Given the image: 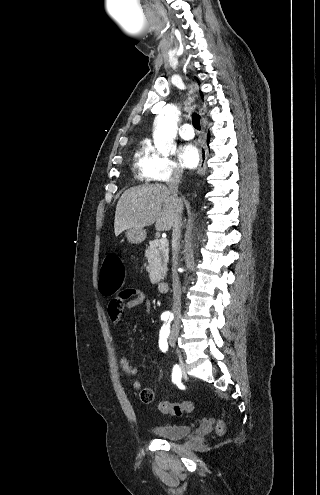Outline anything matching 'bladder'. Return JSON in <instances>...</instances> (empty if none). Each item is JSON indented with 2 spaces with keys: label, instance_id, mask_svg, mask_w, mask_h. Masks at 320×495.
I'll use <instances>...</instances> for the list:
<instances>
[{
  "label": "bladder",
  "instance_id": "31cf9c89",
  "mask_svg": "<svg viewBox=\"0 0 320 495\" xmlns=\"http://www.w3.org/2000/svg\"><path fill=\"white\" fill-rule=\"evenodd\" d=\"M150 430L155 436L176 440L190 434L192 427L188 424H157Z\"/></svg>",
  "mask_w": 320,
  "mask_h": 495
}]
</instances>
